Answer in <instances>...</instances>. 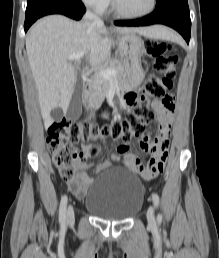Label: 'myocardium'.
I'll return each instance as SVG.
<instances>
[{
    "label": "myocardium",
    "instance_id": "f54148a6",
    "mask_svg": "<svg viewBox=\"0 0 219 258\" xmlns=\"http://www.w3.org/2000/svg\"><path fill=\"white\" fill-rule=\"evenodd\" d=\"M156 5H157V0H151V5L147 10L140 12V13H127L120 8L117 0H112V7H113L114 12L118 16L123 17V18H128V19H136V18H142V17L147 16L155 10Z\"/></svg>",
    "mask_w": 219,
    "mask_h": 258
}]
</instances>
